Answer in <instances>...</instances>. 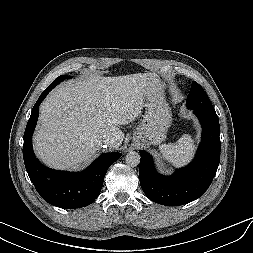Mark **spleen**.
I'll return each mask as SVG.
<instances>
[{"mask_svg":"<svg viewBox=\"0 0 253 253\" xmlns=\"http://www.w3.org/2000/svg\"><path fill=\"white\" fill-rule=\"evenodd\" d=\"M160 152L167 162L175 167L186 165L194 155L195 144L190 135H183L176 143L162 144Z\"/></svg>","mask_w":253,"mask_h":253,"instance_id":"obj_1","label":"spleen"}]
</instances>
